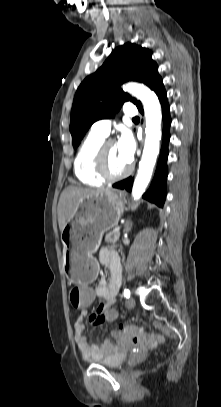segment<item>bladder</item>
Returning <instances> with one entry per match:
<instances>
[{
  "label": "bladder",
  "mask_w": 221,
  "mask_h": 407,
  "mask_svg": "<svg viewBox=\"0 0 221 407\" xmlns=\"http://www.w3.org/2000/svg\"><path fill=\"white\" fill-rule=\"evenodd\" d=\"M126 360V354L124 352H118L117 350L106 355L102 358L94 359L91 363L100 365L106 368L115 369L120 367Z\"/></svg>",
  "instance_id": "31cf9c89"
}]
</instances>
